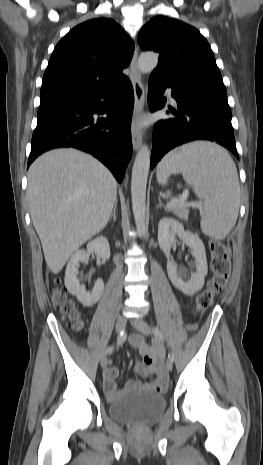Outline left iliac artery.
Returning <instances> with one entry per match:
<instances>
[{
  "label": "left iliac artery",
  "instance_id": "left-iliac-artery-1",
  "mask_svg": "<svg viewBox=\"0 0 263 465\" xmlns=\"http://www.w3.org/2000/svg\"><path fill=\"white\" fill-rule=\"evenodd\" d=\"M152 332L154 334V336L156 337L157 340L159 341H163L164 340V335L163 333L161 332V330L156 327V326H153L152 327ZM168 358L173 362L174 361V356L172 353H169L168 354Z\"/></svg>",
  "mask_w": 263,
  "mask_h": 465
}]
</instances>
